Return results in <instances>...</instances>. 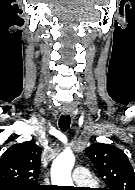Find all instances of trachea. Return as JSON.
Listing matches in <instances>:
<instances>
[{
	"instance_id": "obj_1",
	"label": "trachea",
	"mask_w": 135,
	"mask_h": 190,
	"mask_svg": "<svg viewBox=\"0 0 135 190\" xmlns=\"http://www.w3.org/2000/svg\"><path fill=\"white\" fill-rule=\"evenodd\" d=\"M70 123H71L70 116L62 115L59 120V127L63 132H65L69 129Z\"/></svg>"
}]
</instances>
